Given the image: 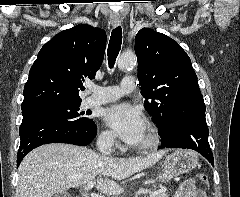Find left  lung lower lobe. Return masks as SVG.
I'll return each instance as SVG.
<instances>
[{
  "instance_id": "0a47b994",
  "label": "left lung lower lobe",
  "mask_w": 240,
  "mask_h": 197,
  "mask_svg": "<svg viewBox=\"0 0 240 197\" xmlns=\"http://www.w3.org/2000/svg\"><path fill=\"white\" fill-rule=\"evenodd\" d=\"M161 137V148H188L199 152L213 166L214 159L208 142L209 130L202 98L193 97L181 113H165L154 120Z\"/></svg>"
}]
</instances>
